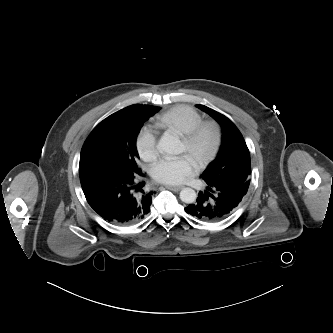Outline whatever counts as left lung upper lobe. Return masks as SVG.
<instances>
[{"label": "left lung upper lobe", "instance_id": "left-lung-upper-lobe-1", "mask_svg": "<svg viewBox=\"0 0 333 333\" xmlns=\"http://www.w3.org/2000/svg\"><path fill=\"white\" fill-rule=\"evenodd\" d=\"M199 109L212 116L222 127V143L217 157L200 176L212 182L245 184L249 187L251 175L250 153L237 127L224 115L204 105Z\"/></svg>", "mask_w": 333, "mask_h": 333}]
</instances>
